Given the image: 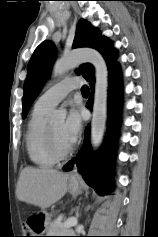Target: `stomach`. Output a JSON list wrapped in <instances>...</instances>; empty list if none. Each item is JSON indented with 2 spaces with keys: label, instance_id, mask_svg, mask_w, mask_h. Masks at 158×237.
<instances>
[{
  "label": "stomach",
  "instance_id": "0dacf381",
  "mask_svg": "<svg viewBox=\"0 0 158 237\" xmlns=\"http://www.w3.org/2000/svg\"><path fill=\"white\" fill-rule=\"evenodd\" d=\"M68 190L73 197H76L81 192V185L77 180L70 179L69 184H68ZM34 233H36V234H33L34 236H40V235H37V233L41 234L42 231L34 232Z\"/></svg>",
  "mask_w": 158,
  "mask_h": 237
}]
</instances>
